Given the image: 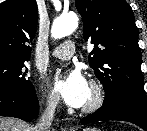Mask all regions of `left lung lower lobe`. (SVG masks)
<instances>
[{"label":"left lung lower lobe","mask_w":147,"mask_h":131,"mask_svg":"<svg viewBox=\"0 0 147 131\" xmlns=\"http://www.w3.org/2000/svg\"><path fill=\"white\" fill-rule=\"evenodd\" d=\"M103 120L128 121L147 131V101L130 98L103 105L96 112L82 118L81 124Z\"/></svg>","instance_id":"left-lung-lower-lobe-1"}]
</instances>
